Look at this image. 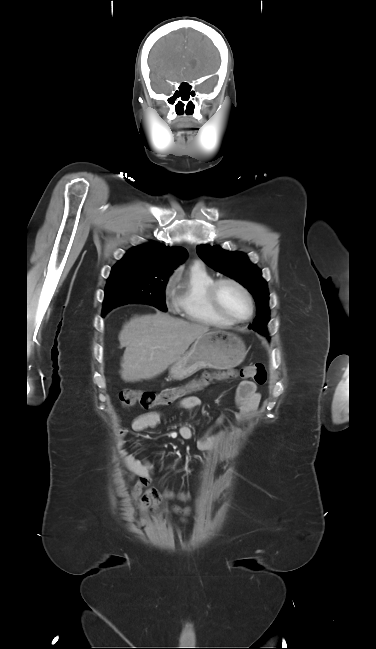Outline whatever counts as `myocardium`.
Returning a JSON list of instances; mask_svg holds the SVG:
<instances>
[{
    "instance_id": "f54148a6",
    "label": "myocardium",
    "mask_w": 376,
    "mask_h": 649,
    "mask_svg": "<svg viewBox=\"0 0 376 649\" xmlns=\"http://www.w3.org/2000/svg\"><path fill=\"white\" fill-rule=\"evenodd\" d=\"M224 284H231V285L235 286L238 290H240L243 293V295L247 299V302L249 304V313L245 318H235V317L231 316L226 311V309L224 308V306H223V304L221 302V299H220V294H219L220 287L222 285H224ZM208 296H209V299H210L212 305L216 309V311L224 319H226L227 321H229V322H231L233 324L243 323V322L248 321L252 317V315L254 313V300H253V297H252L250 291L240 281H238V280H236V279H234L232 277H223V278H219V279L214 280L213 283L210 285V287L208 289Z\"/></svg>"
}]
</instances>
